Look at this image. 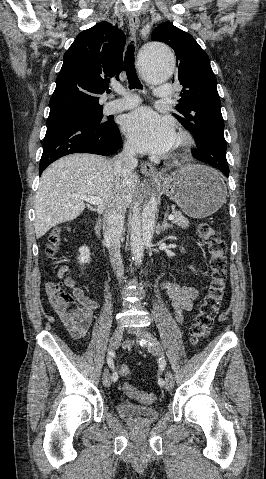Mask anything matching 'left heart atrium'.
I'll use <instances>...</instances> for the list:
<instances>
[{
    "mask_svg": "<svg viewBox=\"0 0 266 479\" xmlns=\"http://www.w3.org/2000/svg\"><path fill=\"white\" fill-rule=\"evenodd\" d=\"M122 128L138 150L157 155L167 153L176 139L172 122L147 107L127 114Z\"/></svg>",
    "mask_w": 266,
    "mask_h": 479,
    "instance_id": "obj_1",
    "label": "left heart atrium"
}]
</instances>
